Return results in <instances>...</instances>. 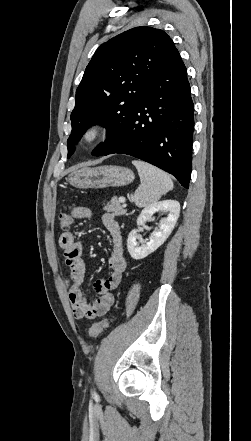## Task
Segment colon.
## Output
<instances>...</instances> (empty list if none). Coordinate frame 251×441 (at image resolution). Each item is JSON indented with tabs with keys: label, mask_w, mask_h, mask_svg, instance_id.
I'll use <instances>...</instances> for the list:
<instances>
[{
	"label": "colon",
	"mask_w": 251,
	"mask_h": 441,
	"mask_svg": "<svg viewBox=\"0 0 251 441\" xmlns=\"http://www.w3.org/2000/svg\"><path fill=\"white\" fill-rule=\"evenodd\" d=\"M73 223V212L70 206L66 208V212L61 213L58 217V224L63 231H68ZM112 319H104L94 323L89 331L88 335L91 339L96 338L104 329H106Z\"/></svg>",
	"instance_id": "1"
}]
</instances>
